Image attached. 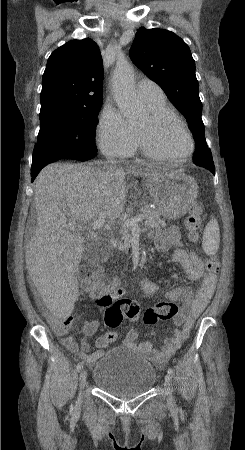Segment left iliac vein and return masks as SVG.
Wrapping results in <instances>:
<instances>
[{
	"instance_id": "left-iliac-vein-1",
	"label": "left iliac vein",
	"mask_w": 245,
	"mask_h": 450,
	"mask_svg": "<svg viewBox=\"0 0 245 450\" xmlns=\"http://www.w3.org/2000/svg\"><path fill=\"white\" fill-rule=\"evenodd\" d=\"M171 384H172L171 376L167 374L165 376V389L167 391V397L170 402L173 400Z\"/></svg>"
}]
</instances>
